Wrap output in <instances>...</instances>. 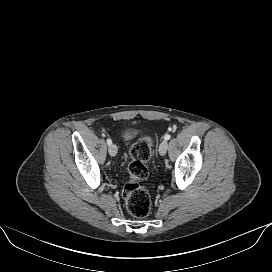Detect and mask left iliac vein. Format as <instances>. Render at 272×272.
<instances>
[{
	"mask_svg": "<svg viewBox=\"0 0 272 272\" xmlns=\"http://www.w3.org/2000/svg\"><path fill=\"white\" fill-rule=\"evenodd\" d=\"M168 149V142L166 140L162 141L159 145V153L164 156Z\"/></svg>",
	"mask_w": 272,
	"mask_h": 272,
	"instance_id": "1",
	"label": "left iliac vein"
}]
</instances>
